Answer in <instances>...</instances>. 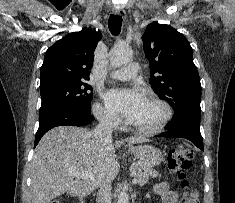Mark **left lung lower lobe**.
Returning a JSON list of instances; mask_svg holds the SVG:
<instances>
[{
	"instance_id": "left-lung-lower-lobe-1",
	"label": "left lung lower lobe",
	"mask_w": 235,
	"mask_h": 203,
	"mask_svg": "<svg viewBox=\"0 0 235 203\" xmlns=\"http://www.w3.org/2000/svg\"><path fill=\"white\" fill-rule=\"evenodd\" d=\"M200 118L201 116L193 113H188L181 117L174 118L165 127L167 131L157 135V137L185 138L204 151L203 140L200 133Z\"/></svg>"
}]
</instances>
